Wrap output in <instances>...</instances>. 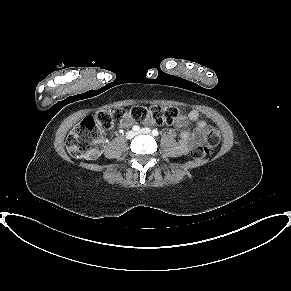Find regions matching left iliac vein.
I'll return each mask as SVG.
<instances>
[{"instance_id": "1", "label": "left iliac vein", "mask_w": 291, "mask_h": 291, "mask_svg": "<svg viewBox=\"0 0 291 291\" xmlns=\"http://www.w3.org/2000/svg\"><path fill=\"white\" fill-rule=\"evenodd\" d=\"M151 130L149 128H143L140 131H138L136 134H149Z\"/></svg>"}]
</instances>
